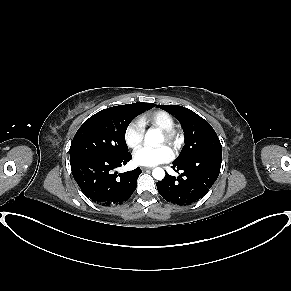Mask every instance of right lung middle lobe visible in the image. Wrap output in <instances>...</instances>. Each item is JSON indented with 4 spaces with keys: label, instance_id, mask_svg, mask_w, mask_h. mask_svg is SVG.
Segmentation results:
<instances>
[{
    "label": "right lung middle lobe",
    "instance_id": "obj_1",
    "mask_svg": "<svg viewBox=\"0 0 291 291\" xmlns=\"http://www.w3.org/2000/svg\"><path fill=\"white\" fill-rule=\"evenodd\" d=\"M155 105L133 103L104 109L87 119L76 132L70 146V159L82 156L117 157L128 154L125 132L141 112Z\"/></svg>",
    "mask_w": 291,
    "mask_h": 291
}]
</instances>
